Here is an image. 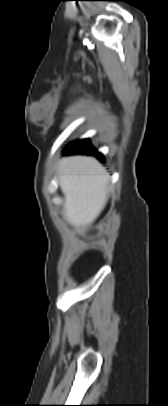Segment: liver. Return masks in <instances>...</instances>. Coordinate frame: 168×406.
<instances>
[{
	"instance_id": "1",
	"label": "liver",
	"mask_w": 168,
	"mask_h": 406,
	"mask_svg": "<svg viewBox=\"0 0 168 406\" xmlns=\"http://www.w3.org/2000/svg\"><path fill=\"white\" fill-rule=\"evenodd\" d=\"M58 181L64 194V218L74 227L91 225L109 197V175L93 157L70 156L58 166Z\"/></svg>"
}]
</instances>
